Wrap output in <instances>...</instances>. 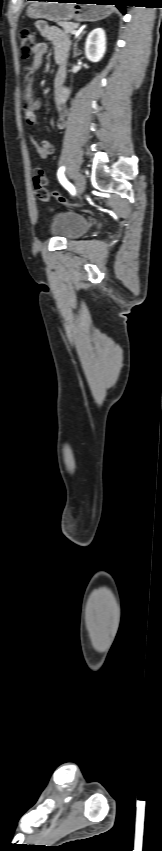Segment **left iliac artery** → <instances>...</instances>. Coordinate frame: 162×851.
Masks as SVG:
<instances>
[{
	"instance_id": "1",
	"label": "left iliac artery",
	"mask_w": 162,
	"mask_h": 851,
	"mask_svg": "<svg viewBox=\"0 0 162 851\" xmlns=\"http://www.w3.org/2000/svg\"><path fill=\"white\" fill-rule=\"evenodd\" d=\"M64 170H65V167H61V168L58 170V179H59L60 183H61V184H62V185H63V186H64V187H65V188H66V189H67V190H68V191L72 194V195H74V194H75V188H74V187H73V185H72L71 183H69V182L67 181V179L65 178Z\"/></svg>"
}]
</instances>
